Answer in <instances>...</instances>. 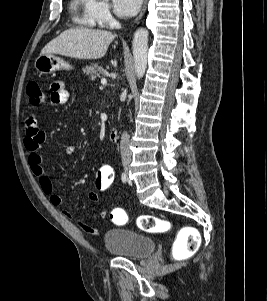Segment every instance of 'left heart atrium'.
Instances as JSON below:
<instances>
[{"mask_svg":"<svg viewBox=\"0 0 267 301\" xmlns=\"http://www.w3.org/2000/svg\"><path fill=\"white\" fill-rule=\"evenodd\" d=\"M143 0H113L115 12L120 17H131L135 15Z\"/></svg>","mask_w":267,"mask_h":301,"instance_id":"39dd6f15","label":"left heart atrium"}]
</instances>
